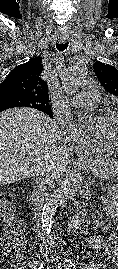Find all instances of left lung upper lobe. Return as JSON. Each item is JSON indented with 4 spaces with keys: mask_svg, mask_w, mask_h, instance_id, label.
I'll list each match as a JSON object with an SVG mask.
<instances>
[{
    "mask_svg": "<svg viewBox=\"0 0 118 269\" xmlns=\"http://www.w3.org/2000/svg\"><path fill=\"white\" fill-rule=\"evenodd\" d=\"M94 72L106 91L118 96V70L108 64L96 61Z\"/></svg>",
    "mask_w": 118,
    "mask_h": 269,
    "instance_id": "obj_1",
    "label": "left lung upper lobe"
}]
</instances>
